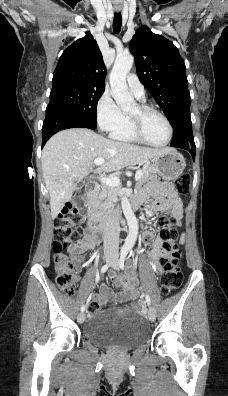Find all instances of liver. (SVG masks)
Masks as SVG:
<instances>
[{"instance_id": "6515ba94", "label": "liver", "mask_w": 228, "mask_h": 396, "mask_svg": "<svg viewBox=\"0 0 228 396\" xmlns=\"http://www.w3.org/2000/svg\"><path fill=\"white\" fill-rule=\"evenodd\" d=\"M169 150L107 139L86 128L58 132L45 144L41 160L52 218H56L64 204L71 200L77 182L89 174L95 159L105 160L95 173H110L147 162Z\"/></svg>"}]
</instances>
